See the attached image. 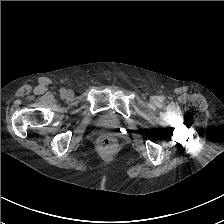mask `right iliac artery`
<instances>
[{
	"instance_id": "right-iliac-artery-1",
	"label": "right iliac artery",
	"mask_w": 224,
	"mask_h": 224,
	"mask_svg": "<svg viewBox=\"0 0 224 224\" xmlns=\"http://www.w3.org/2000/svg\"><path fill=\"white\" fill-rule=\"evenodd\" d=\"M60 94H61V95L66 94V89H65V88H61V89H60Z\"/></svg>"
}]
</instances>
